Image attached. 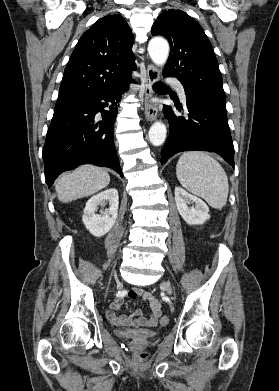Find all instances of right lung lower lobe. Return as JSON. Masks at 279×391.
Instances as JSON below:
<instances>
[{
	"instance_id": "1",
	"label": "right lung lower lobe",
	"mask_w": 279,
	"mask_h": 391,
	"mask_svg": "<svg viewBox=\"0 0 279 391\" xmlns=\"http://www.w3.org/2000/svg\"><path fill=\"white\" fill-rule=\"evenodd\" d=\"M130 82L96 96L56 104L42 154L49 187L63 171L84 163L110 167L123 176L113 124L117 104Z\"/></svg>"
}]
</instances>
